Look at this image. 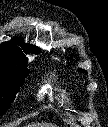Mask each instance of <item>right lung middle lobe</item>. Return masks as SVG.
<instances>
[{
  "instance_id": "right-lung-middle-lobe-1",
  "label": "right lung middle lobe",
  "mask_w": 108,
  "mask_h": 127,
  "mask_svg": "<svg viewBox=\"0 0 108 127\" xmlns=\"http://www.w3.org/2000/svg\"><path fill=\"white\" fill-rule=\"evenodd\" d=\"M27 74V65L0 63V115L10 107Z\"/></svg>"
}]
</instances>
